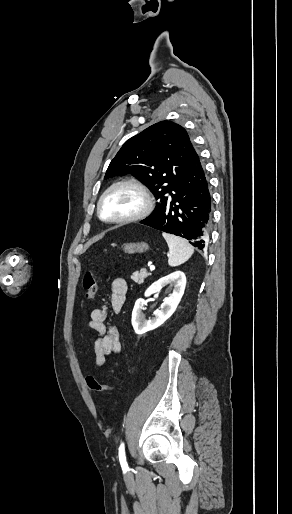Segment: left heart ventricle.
<instances>
[{
  "label": "left heart ventricle",
  "instance_id": "obj_1",
  "mask_svg": "<svg viewBox=\"0 0 292 514\" xmlns=\"http://www.w3.org/2000/svg\"><path fill=\"white\" fill-rule=\"evenodd\" d=\"M141 205L140 195L128 188L113 191L103 202L102 214L105 218H118L136 211Z\"/></svg>",
  "mask_w": 292,
  "mask_h": 514
}]
</instances>
